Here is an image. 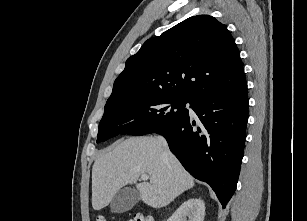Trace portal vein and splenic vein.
<instances>
[{
    "label": "portal vein and splenic vein",
    "mask_w": 307,
    "mask_h": 221,
    "mask_svg": "<svg viewBox=\"0 0 307 221\" xmlns=\"http://www.w3.org/2000/svg\"><path fill=\"white\" fill-rule=\"evenodd\" d=\"M150 178V181H155L154 177L149 176L148 174H142L141 179L142 180H148Z\"/></svg>",
    "instance_id": "1"
}]
</instances>
